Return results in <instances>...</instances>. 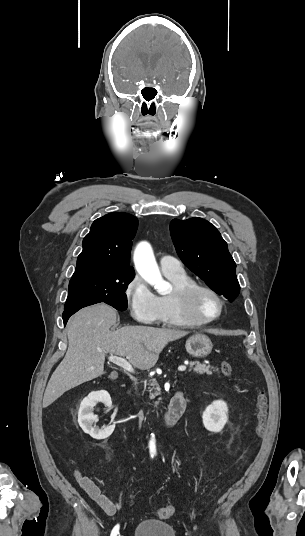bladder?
Listing matches in <instances>:
<instances>
[{"label":"bladder","mask_w":305,"mask_h":536,"mask_svg":"<svg viewBox=\"0 0 305 536\" xmlns=\"http://www.w3.org/2000/svg\"><path fill=\"white\" fill-rule=\"evenodd\" d=\"M133 536H175V529L167 520L145 518L134 526Z\"/></svg>","instance_id":"1"}]
</instances>
